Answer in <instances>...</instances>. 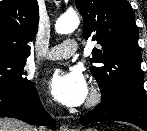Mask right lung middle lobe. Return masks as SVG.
<instances>
[{
  "instance_id": "obj_1",
  "label": "right lung middle lobe",
  "mask_w": 147,
  "mask_h": 131,
  "mask_svg": "<svg viewBox=\"0 0 147 131\" xmlns=\"http://www.w3.org/2000/svg\"><path fill=\"white\" fill-rule=\"evenodd\" d=\"M26 59L0 57V88L27 90L34 84L24 71Z\"/></svg>"
}]
</instances>
